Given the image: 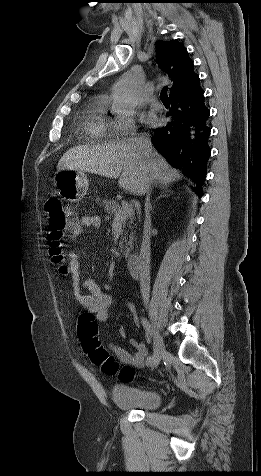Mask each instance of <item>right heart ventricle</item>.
<instances>
[{"instance_id": "1", "label": "right heart ventricle", "mask_w": 261, "mask_h": 476, "mask_svg": "<svg viewBox=\"0 0 261 476\" xmlns=\"http://www.w3.org/2000/svg\"><path fill=\"white\" fill-rule=\"evenodd\" d=\"M84 129L92 141H100L110 135V122L105 116L102 100H95L89 107L85 118Z\"/></svg>"}]
</instances>
